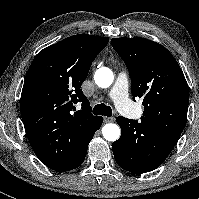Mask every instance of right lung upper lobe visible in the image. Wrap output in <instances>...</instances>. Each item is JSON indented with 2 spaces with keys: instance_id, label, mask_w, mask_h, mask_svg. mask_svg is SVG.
Wrapping results in <instances>:
<instances>
[{
  "instance_id": "cb5924a9",
  "label": "right lung upper lobe",
  "mask_w": 199,
  "mask_h": 199,
  "mask_svg": "<svg viewBox=\"0 0 199 199\" xmlns=\"http://www.w3.org/2000/svg\"><path fill=\"white\" fill-rule=\"evenodd\" d=\"M108 37L73 35L41 50L24 81L20 110L28 139L41 131L47 154L58 157L77 132L88 129L100 116L91 113L81 88ZM80 102L81 110L74 104ZM73 111H76L73 113Z\"/></svg>"
}]
</instances>
